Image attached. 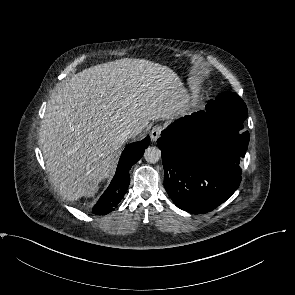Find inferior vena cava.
I'll return each instance as SVG.
<instances>
[{"instance_id":"inferior-vena-cava-1","label":"inferior vena cava","mask_w":295,"mask_h":295,"mask_svg":"<svg viewBox=\"0 0 295 295\" xmlns=\"http://www.w3.org/2000/svg\"><path fill=\"white\" fill-rule=\"evenodd\" d=\"M139 130L136 128H126L122 133L117 136V141L120 144H123L126 140L130 137L135 136L138 134Z\"/></svg>"}]
</instances>
